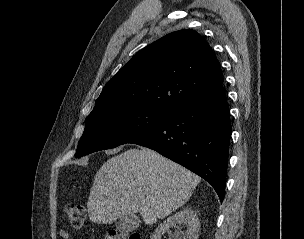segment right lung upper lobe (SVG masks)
I'll list each match as a JSON object with an SVG mask.
<instances>
[{
  "instance_id": "1",
  "label": "right lung upper lobe",
  "mask_w": 304,
  "mask_h": 239,
  "mask_svg": "<svg viewBox=\"0 0 304 239\" xmlns=\"http://www.w3.org/2000/svg\"><path fill=\"white\" fill-rule=\"evenodd\" d=\"M221 84L219 61L207 41L194 30H179L134 55L107 82L89 116L128 107L172 113Z\"/></svg>"
}]
</instances>
